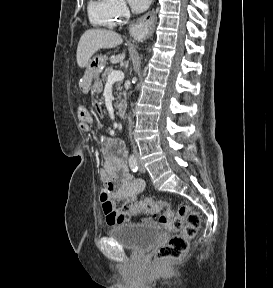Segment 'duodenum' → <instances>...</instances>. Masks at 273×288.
Segmentation results:
<instances>
[{
  "mask_svg": "<svg viewBox=\"0 0 273 288\" xmlns=\"http://www.w3.org/2000/svg\"><path fill=\"white\" fill-rule=\"evenodd\" d=\"M116 113L120 118H124L125 117V113H126V103L124 101H120L116 104Z\"/></svg>",
  "mask_w": 273,
  "mask_h": 288,
  "instance_id": "obj_1",
  "label": "duodenum"
}]
</instances>
